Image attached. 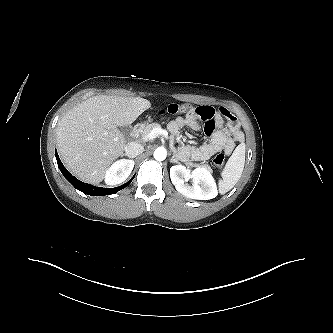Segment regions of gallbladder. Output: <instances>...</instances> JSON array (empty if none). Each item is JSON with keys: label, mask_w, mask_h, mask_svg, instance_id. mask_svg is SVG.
I'll use <instances>...</instances> for the list:
<instances>
[{"label": "gallbladder", "mask_w": 333, "mask_h": 333, "mask_svg": "<svg viewBox=\"0 0 333 333\" xmlns=\"http://www.w3.org/2000/svg\"><path fill=\"white\" fill-rule=\"evenodd\" d=\"M121 132L126 134L129 131V127L128 126H123L120 128Z\"/></svg>", "instance_id": "obj_1"}]
</instances>
